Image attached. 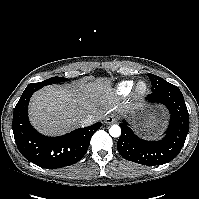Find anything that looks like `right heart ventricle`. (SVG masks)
<instances>
[{
	"instance_id": "1",
	"label": "right heart ventricle",
	"mask_w": 199,
	"mask_h": 199,
	"mask_svg": "<svg viewBox=\"0 0 199 199\" xmlns=\"http://www.w3.org/2000/svg\"><path fill=\"white\" fill-rule=\"evenodd\" d=\"M133 86V81H121L115 86L113 94L116 98H124L130 94Z\"/></svg>"
}]
</instances>
